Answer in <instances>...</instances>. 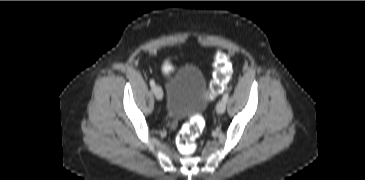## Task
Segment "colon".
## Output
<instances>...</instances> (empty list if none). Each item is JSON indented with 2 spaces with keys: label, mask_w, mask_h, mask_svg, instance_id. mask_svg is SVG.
I'll return each instance as SVG.
<instances>
[{
  "label": "colon",
  "mask_w": 365,
  "mask_h": 180,
  "mask_svg": "<svg viewBox=\"0 0 365 180\" xmlns=\"http://www.w3.org/2000/svg\"><path fill=\"white\" fill-rule=\"evenodd\" d=\"M231 75V64L228 57L221 52L214 56V74L210 84L209 95L211 97L220 94ZM205 122L201 117H193L180 130L177 136V148L179 152L185 156H190L197 149L196 140L203 132Z\"/></svg>",
  "instance_id": "1"
}]
</instances>
